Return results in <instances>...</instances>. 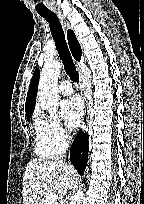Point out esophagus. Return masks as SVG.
<instances>
[{"instance_id":"1","label":"esophagus","mask_w":144,"mask_h":204,"mask_svg":"<svg viewBox=\"0 0 144 204\" xmlns=\"http://www.w3.org/2000/svg\"><path fill=\"white\" fill-rule=\"evenodd\" d=\"M62 27L64 30H68L70 29V24L69 22L65 19V17L60 13V12H56ZM83 96H84V100H85V114L83 117V121H82V130L83 132L87 131L88 126H89V122H90V112H89V102H88V94H87V90L83 81Z\"/></svg>"}]
</instances>
